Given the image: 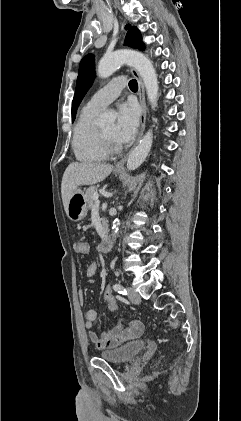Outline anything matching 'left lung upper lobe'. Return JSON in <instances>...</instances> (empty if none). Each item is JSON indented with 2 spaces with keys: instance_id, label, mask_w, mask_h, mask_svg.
<instances>
[{
  "instance_id": "left-lung-upper-lobe-1",
  "label": "left lung upper lobe",
  "mask_w": 241,
  "mask_h": 421,
  "mask_svg": "<svg viewBox=\"0 0 241 421\" xmlns=\"http://www.w3.org/2000/svg\"><path fill=\"white\" fill-rule=\"evenodd\" d=\"M126 30H128L125 45L132 48H138L139 50L144 49V44L142 42L141 34L136 27H131L126 25ZM95 78V64L94 56L92 54L86 55L80 62L79 72L76 82L75 95L72 102V120L75 119L77 108L83 99L86 92L92 86V83Z\"/></svg>"
}]
</instances>
